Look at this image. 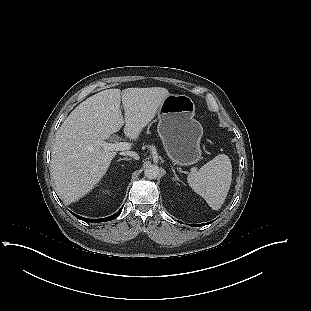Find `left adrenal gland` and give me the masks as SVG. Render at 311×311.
I'll use <instances>...</instances> for the list:
<instances>
[{
    "label": "left adrenal gland",
    "instance_id": "1",
    "mask_svg": "<svg viewBox=\"0 0 311 311\" xmlns=\"http://www.w3.org/2000/svg\"><path fill=\"white\" fill-rule=\"evenodd\" d=\"M172 171H173L174 176H175L174 180L181 182L180 178L178 177V175L176 174V172H175V170L173 168H172Z\"/></svg>",
    "mask_w": 311,
    "mask_h": 311
}]
</instances>
